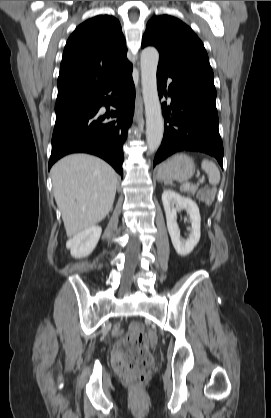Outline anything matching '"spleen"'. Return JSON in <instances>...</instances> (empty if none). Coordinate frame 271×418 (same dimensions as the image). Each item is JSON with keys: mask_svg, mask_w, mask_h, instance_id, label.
Wrapping results in <instances>:
<instances>
[{"mask_svg": "<svg viewBox=\"0 0 271 418\" xmlns=\"http://www.w3.org/2000/svg\"><path fill=\"white\" fill-rule=\"evenodd\" d=\"M202 169L208 174L210 184L217 185L220 182V172L214 162L204 159Z\"/></svg>", "mask_w": 271, "mask_h": 418, "instance_id": "1", "label": "spleen"}]
</instances>
